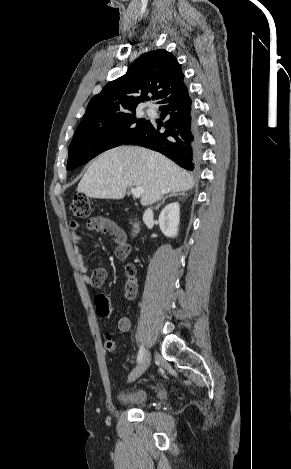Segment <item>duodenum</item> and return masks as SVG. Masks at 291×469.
<instances>
[{"mask_svg": "<svg viewBox=\"0 0 291 469\" xmlns=\"http://www.w3.org/2000/svg\"><path fill=\"white\" fill-rule=\"evenodd\" d=\"M137 230H138V224H137V223H133V234H136V233H137Z\"/></svg>", "mask_w": 291, "mask_h": 469, "instance_id": "duodenum-1", "label": "duodenum"}]
</instances>
